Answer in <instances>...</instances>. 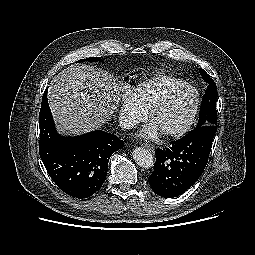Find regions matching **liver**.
<instances>
[{
	"label": "liver",
	"mask_w": 255,
	"mask_h": 255,
	"mask_svg": "<svg viewBox=\"0 0 255 255\" xmlns=\"http://www.w3.org/2000/svg\"><path fill=\"white\" fill-rule=\"evenodd\" d=\"M119 88L111 74L87 64L62 70L48 90L59 131L78 135L100 128L117 108Z\"/></svg>",
	"instance_id": "1"
}]
</instances>
